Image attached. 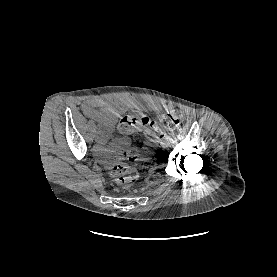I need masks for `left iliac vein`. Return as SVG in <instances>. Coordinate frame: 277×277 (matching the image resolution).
I'll return each mask as SVG.
<instances>
[{
  "instance_id": "obj_1",
  "label": "left iliac vein",
  "mask_w": 277,
  "mask_h": 277,
  "mask_svg": "<svg viewBox=\"0 0 277 277\" xmlns=\"http://www.w3.org/2000/svg\"><path fill=\"white\" fill-rule=\"evenodd\" d=\"M161 146H162V147H167V146H168V142H167V141H163V142L161 143Z\"/></svg>"
}]
</instances>
